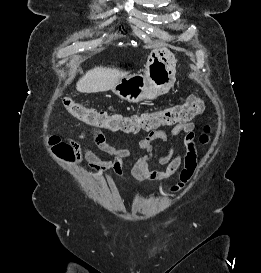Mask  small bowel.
Instances as JSON below:
<instances>
[{
  "instance_id": "small-bowel-1",
  "label": "small bowel",
  "mask_w": 261,
  "mask_h": 273,
  "mask_svg": "<svg viewBox=\"0 0 261 273\" xmlns=\"http://www.w3.org/2000/svg\"><path fill=\"white\" fill-rule=\"evenodd\" d=\"M110 111H114L110 108ZM113 115H120L114 112ZM87 135L92 138L96 146L104 153L110 155L111 159H104L97 156L91 151L87 143ZM183 136L184 150L176 153L172 145L168 151L159 158V164L165 166L164 170H150L149 163L153 157V143L161 140L170 143L171 139ZM194 124L191 122L176 124L170 131L155 129L142 138L138 143V150L141 151L140 157L135 161L131 169L132 178L137 181H160L172 176L183 164V169L179 175V183L171 188V193L181 190L193 177L197 168V147L194 141ZM81 139L85 141L83 145L72 142L71 146L74 151V161L80 162L85 160L91 171L99 174L112 172L114 175L123 179V162L131 158L135 154V150L131 148H115L111 146L105 136L95 127L81 135Z\"/></svg>"
}]
</instances>
